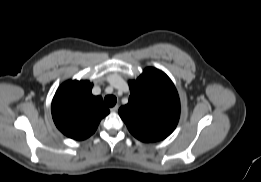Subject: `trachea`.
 I'll return each instance as SVG.
<instances>
[{"label": "trachea", "mask_w": 261, "mask_h": 182, "mask_svg": "<svg viewBox=\"0 0 261 182\" xmlns=\"http://www.w3.org/2000/svg\"><path fill=\"white\" fill-rule=\"evenodd\" d=\"M117 102V98L114 95H108L104 98V103L108 107H113Z\"/></svg>", "instance_id": "3493384b"}]
</instances>
